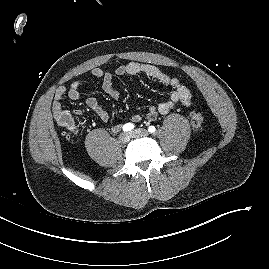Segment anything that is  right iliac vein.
Segmentation results:
<instances>
[{
	"mask_svg": "<svg viewBox=\"0 0 269 269\" xmlns=\"http://www.w3.org/2000/svg\"><path fill=\"white\" fill-rule=\"evenodd\" d=\"M130 136L131 135L129 133H122L119 136V140H120L121 143L125 144V143L129 142Z\"/></svg>",
	"mask_w": 269,
	"mask_h": 269,
	"instance_id": "right-iliac-vein-1",
	"label": "right iliac vein"
}]
</instances>
